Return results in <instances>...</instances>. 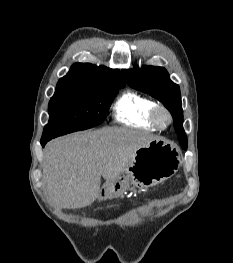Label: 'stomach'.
Returning a JSON list of instances; mask_svg holds the SVG:
<instances>
[{
    "label": "stomach",
    "mask_w": 233,
    "mask_h": 263,
    "mask_svg": "<svg viewBox=\"0 0 233 263\" xmlns=\"http://www.w3.org/2000/svg\"><path fill=\"white\" fill-rule=\"evenodd\" d=\"M181 165L180 151L172 143L157 138L136 150L120 176L106 182L99 198L123 196L130 186L146 189L172 177Z\"/></svg>",
    "instance_id": "1"
}]
</instances>
